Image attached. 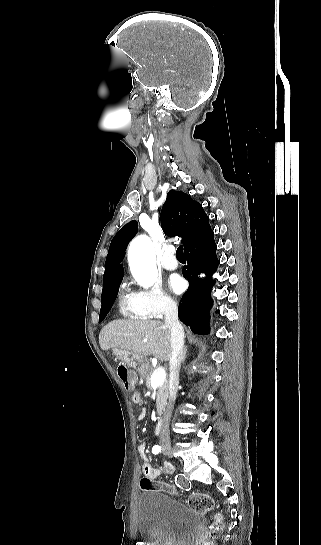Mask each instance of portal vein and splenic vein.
Returning a JSON list of instances; mask_svg holds the SVG:
<instances>
[{"label": "portal vein and splenic vein", "mask_w": 321, "mask_h": 545, "mask_svg": "<svg viewBox=\"0 0 321 545\" xmlns=\"http://www.w3.org/2000/svg\"><path fill=\"white\" fill-rule=\"evenodd\" d=\"M166 377V371L165 369H156V371H153L151 375V387H160L162 383H164Z\"/></svg>", "instance_id": "obj_1"}]
</instances>
